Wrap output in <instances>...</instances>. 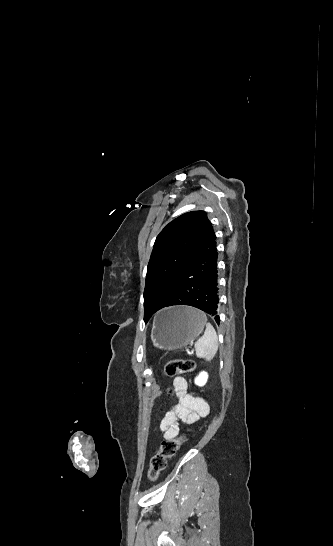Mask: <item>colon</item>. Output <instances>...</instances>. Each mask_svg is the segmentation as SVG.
Segmentation results:
<instances>
[{
  "mask_svg": "<svg viewBox=\"0 0 333 546\" xmlns=\"http://www.w3.org/2000/svg\"><path fill=\"white\" fill-rule=\"evenodd\" d=\"M195 369V363L192 360L173 359L164 365V375L175 377L180 374L190 373ZM186 441V437L166 439L161 443L158 452L151 458L148 469V478L155 481L160 473L165 469L167 459L173 457L180 446Z\"/></svg>",
  "mask_w": 333,
  "mask_h": 546,
  "instance_id": "colon-1",
  "label": "colon"
}]
</instances>
